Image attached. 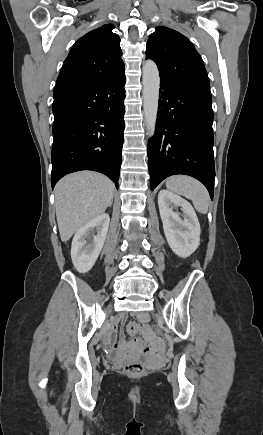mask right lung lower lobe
Returning a JSON list of instances; mask_svg holds the SVG:
<instances>
[{"label":"right lung lower lobe","mask_w":263,"mask_h":435,"mask_svg":"<svg viewBox=\"0 0 263 435\" xmlns=\"http://www.w3.org/2000/svg\"><path fill=\"white\" fill-rule=\"evenodd\" d=\"M124 71L53 95L51 185L64 175L93 170L118 188L124 141Z\"/></svg>","instance_id":"98d812e1"}]
</instances>
